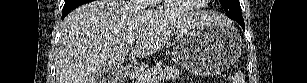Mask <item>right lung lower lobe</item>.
I'll return each mask as SVG.
<instances>
[{
    "label": "right lung lower lobe",
    "instance_id": "1",
    "mask_svg": "<svg viewBox=\"0 0 307 83\" xmlns=\"http://www.w3.org/2000/svg\"><path fill=\"white\" fill-rule=\"evenodd\" d=\"M90 0H66L62 11V19L76 7L89 2Z\"/></svg>",
    "mask_w": 307,
    "mask_h": 83
}]
</instances>
